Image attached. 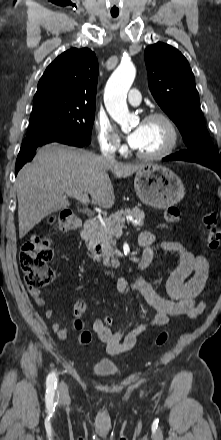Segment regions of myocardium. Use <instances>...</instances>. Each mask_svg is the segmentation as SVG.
I'll use <instances>...</instances> for the list:
<instances>
[{
	"label": "myocardium",
	"mask_w": 221,
	"mask_h": 440,
	"mask_svg": "<svg viewBox=\"0 0 221 440\" xmlns=\"http://www.w3.org/2000/svg\"><path fill=\"white\" fill-rule=\"evenodd\" d=\"M153 120H160L166 125L169 133V138L166 146L158 152L143 153L139 150H136L135 154L137 155V157L143 160L152 161V160H161L163 158H166L174 152L178 144L179 134L177 127L174 121L167 114L156 111L148 114L145 118V121H153Z\"/></svg>",
	"instance_id": "obj_1"
}]
</instances>
